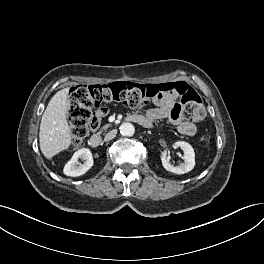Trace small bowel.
<instances>
[{"label": "small bowel", "mask_w": 264, "mask_h": 264, "mask_svg": "<svg viewBox=\"0 0 264 264\" xmlns=\"http://www.w3.org/2000/svg\"><path fill=\"white\" fill-rule=\"evenodd\" d=\"M156 108L149 110L144 115H140L148 119L151 123L158 120L168 119L177 126L178 131L186 136H193L196 133V126L191 122L182 120L180 106L177 102L176 95H167L154 102ZM105 113H101L104 115Z\"/></svg>", "instance_id": "c3829d8e"}]
</instances>
